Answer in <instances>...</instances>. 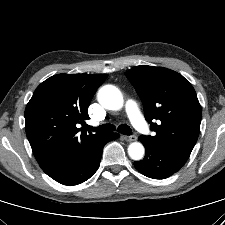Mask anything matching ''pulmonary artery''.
<instances>
[{"mask_svg": "<svg viewBox=\"0 0 225 225\" xmlns=\"http://www.w3.org/2000/svg\"><path fill=\"white\" fill-rule=\"evenodd\" d=\"M125 110L134 127L139 132L146 133L148 131V124L142 116L137 104L132 100H128L125 103Z\"/></svg>", "mask_w": 225, "mask_h": 225, "instance_id": "pulmonary-artery-1", "label": "pulmonary artery"}]
</instances>
